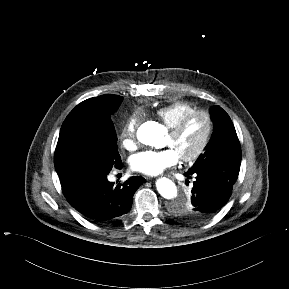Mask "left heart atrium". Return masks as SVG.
Returning <instances> with one entry per match:
<instances>
[{"mask_svg":"<svg viewBox=\"0 0 289 289\" xmlns=\"http://www.w3.org/2000/svg\"><path fill=\"white\" fill-rule=\"evenodd\" d=\"M179 158L172 147L162 150H146L133 155L130 159V165L136 172L154 176L176 165Z\"/></svg>","mask_w":289,"mask_h":289,"instance_id":"1","label":"left heart atrium"}]
</instances>
